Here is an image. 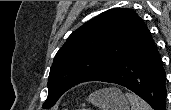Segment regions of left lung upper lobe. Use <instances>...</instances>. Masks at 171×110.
Here are the masks:
<instances>
[{"label": "left lung upper lobe", "mask_w": 171, "mask_h": 110, "mask_svg": "<svg viewBox=\"0 0 171 110\" xmlns=\"http://www.w3.org/2000/svg\"><path fill=\"white\" fill-rule=\"evenodd\" d=\"M149 33L132 9H110L83 24L55 55L43 108L52 107L73 86L113 68Z\"/></svg>", "instance_id": "obj_1"}]
</instances>
